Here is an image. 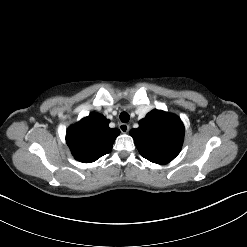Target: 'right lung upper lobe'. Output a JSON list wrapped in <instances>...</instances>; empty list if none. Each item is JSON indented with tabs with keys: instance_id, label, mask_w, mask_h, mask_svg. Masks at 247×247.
<instances>
[{
	"instance_id": "1",
	"label": "right lung upper lobe",
	"mask_w": 247,
	"mask_h": 247,
	"mask_svg": "<svg viewBox=\"0 0 247 247\" xmlns=\"http://www.w3.org/2000/svg\"><path fill=\"white\" fill-rule=\"evenodd\" d=\"M108 124L109 120L103 115L91 113L68 129L66 142L76 160L94 162L112 150L120 130Z\"/></svg>"
}]
</instances>
